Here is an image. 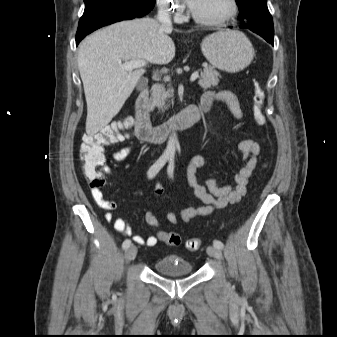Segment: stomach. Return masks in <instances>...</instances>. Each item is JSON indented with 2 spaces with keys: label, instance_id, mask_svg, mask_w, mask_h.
<instances>
[{
  "label": "stomach",
  "instance_id": "obj_1",
  "mask_svg": "<svg viewBox=\"0 0 337 337\" xmlns=\"http://www.w3.org/2000/svg\"><path fill=\"white\" fill-rule=\"evenodd\" d=\"M201 49L209 63L228 73L245 69L253 60L254 48L240 31H221L207 36Z\"/></svg>",
  "mask_w": 337,
  "mask_h": 337
}]
</instances>
